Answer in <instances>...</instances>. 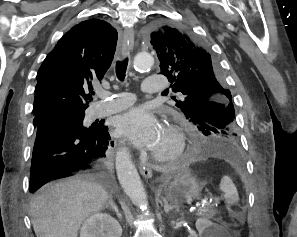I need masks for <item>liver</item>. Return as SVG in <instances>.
Masks as SVG:
<instances>
[{
  "instance_id": "liver-1",
  "label": "liver",
  "mask_w": 297,
  "mask_h": 237,
  "mask_svg": "<svg viewBox=\"0 0 297 237\" xmlns=\"http://www.w3.org/2000/svg\"><path fill=\"white\" fill-rule=\"evenodd\" d=\"M109 198L90 176H74L45 185L30 203L36 237H77L83 222L100 212Z\"/></svg>"
}]
</instances>
